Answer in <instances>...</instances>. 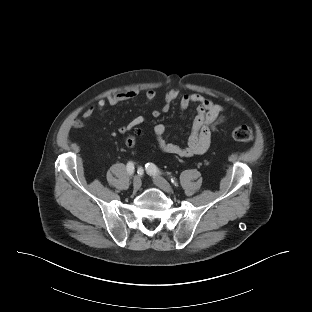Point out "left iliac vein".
<instances>
[{
    "label": "left iliac vein",
    "mask_w": 312,
    "mask_h": 312,
    "mask_svg": "<svg viewBox=\"0 0 312 312\" xmlns=\"http://www.w3.org/2000/svg\"><path fill=\"white\" fill-rule=\"evenodd\" d=\"M153 182L156 186H158L163 191L170 193V194L173 193L172 187L164 178H162L160 176H155L153 178Z\"/></svg>",
    "instance_id": "4c4485c4"
}]
</instances>
